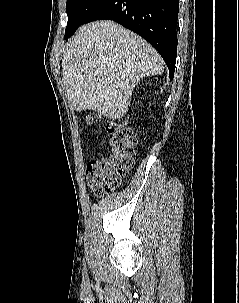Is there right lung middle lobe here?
Segmentation results:
<instances>
[{"label": "right lung middle lobe", "instance_id": "1", "mask_svg": "<svg viewBox=\"0 0 239 303\" xmlns=\"http://www.w3.org/2000/svg\"><path fill=\"white\" fill-rule=\"evenodd\" d=\"M106 0H67L66 12L68 23L65 30V39L73 35L84 20Z\"/></svg>", "mask_w": 239, "mask_h": 303}]
</instances>
